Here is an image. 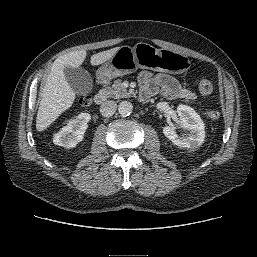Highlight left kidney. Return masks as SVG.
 Listing matches in <instances>:
<instances>
[{"label": "left kidney", "instance_id": "left-kidney-1", "mask_svg": "<svg viewBox=\"0 0 257 257\" xmlns=\"http://www.w3.org/2000/svg\"><path fill=\"white\" fill-rule=\"evenodd\" d=\"M177 113L181 119V126L189 132L179 136L174 127L165 126L164 135L175 145L180 148L196 149L201 146L205 139V126L195 110L186 105H179Z\"/></svg>", "mask_w": 257, "mask_h": 257}]
</instances>
